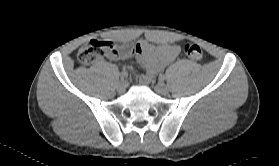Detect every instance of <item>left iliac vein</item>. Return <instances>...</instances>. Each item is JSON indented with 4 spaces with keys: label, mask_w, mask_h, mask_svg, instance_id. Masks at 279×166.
I'll list each match as a JSON object with an SVG mask.
<instances>
[{
    "label": "left iliac vein",
    "mask_w": 279,
    "mask_h": 166,
    "mask_svg": "<svg viewBox=\"0 0 279 166\" xmlns=\"http://www.w3.org/2000/svg\"><path fill=\"white\" fill-rule=\"evenodd\" d=\"M155 90L157 93H159L160 95H167L169 92L168 87L163 83V82H159L156 86H155Z\"/></svg>",
    "instance_id": "left-iliac-vein-1"
}]
</instances>
